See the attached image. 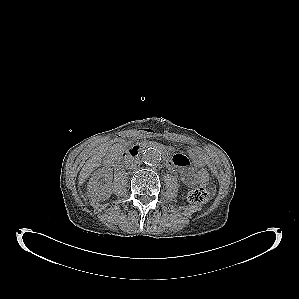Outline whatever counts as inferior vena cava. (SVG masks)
Returning a JSON list of instances; mask_svg holds the SVG:
<instances>
[{"label": "inferior vena cava", "instance_id": "inferior-vena-cava-1", "mask_svg": "<svg viewBox=\"0 0 299 299\" xmlns=\"http://www.w3.org/2000/svg\"><path fill=\"white\" fill-rule=\"evenodd\" d=\"M138 166H140V161L135 160L131 163V168L133 169H136Z\"/></svg>", "mask_w": 299, "mask_h": 299}]
</instances>
